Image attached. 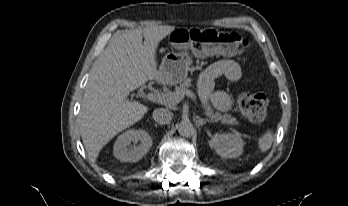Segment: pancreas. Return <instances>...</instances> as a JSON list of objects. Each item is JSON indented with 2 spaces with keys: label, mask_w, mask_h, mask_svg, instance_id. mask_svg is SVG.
Returning a JSON list of instances; mask_svg holds the SVG:
<instances>
[{
  "label": "pancreas",
  "mask_w": 348,
  "mask_h": 206,
  "mask_svg": "<svg viewBox=\"0 0 348 206\" xmlns=\"http://www.w3.org/2000/svg\"><path fill=\"white\" fill-rule=\"evenodd\" d=\"M192 79L186 78L180 86L175 87V92H184L191 86ZM205 114L213 121H220L222 124L228 125H238V121L235 117H232L229 114H220L219 112H214L210 107L205 111Z\"/></svg>",
  "instance_id": "pancreas-1"
}]
</instances>
